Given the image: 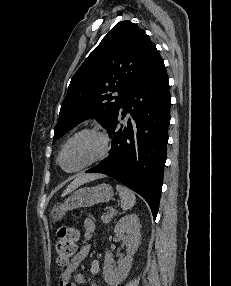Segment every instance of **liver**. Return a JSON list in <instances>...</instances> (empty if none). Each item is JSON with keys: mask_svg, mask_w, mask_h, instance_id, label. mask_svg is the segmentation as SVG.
Instances as JSON below:
<instances>
[{"mask_svg": "<svg viewBox=\"0 0 231 286\" xmlns=\"http://www.w3.org/2000/svg\"><path fill=\"white\" fill-rule=\"evenodd\" d=\"M102 177H103V175H101V174H85V175H81V176L77 177L74 181H72L70 183V185H68V187L63 192L62 196H66L67 194L71 193L72 191H74L79 186H81V185H83V184H85V183H87L89 181L100 179Z\"/></svg>", "mask_w": 231, "mask_h": 286, "instance_id": "liver-1", "label": "liver"}]
</instances>
